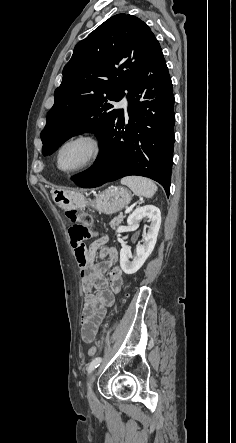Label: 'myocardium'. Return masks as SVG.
<instances>
[{
  "instance_id": "f54148a6",
  "label": "myocardium",
  "mask_w": 236,
  "mask_h": 443,
  "mask_svg": "<svg viewBox=\"0 0 236 443\" xmlns=\"http://www.w3.org/2000/svg\"><path fill=\"white\" fill-rule=\"evenodd\" d=\"M77 141H84L89 144L91 148L90 156L82 165L78 167L72 169H63L60 165L61 154L69 144ZM102 152H103L102 141L97 134L90 131L80 132L70 136L65 141H63L62 144L59 146L56 153V165L57 168L64 173L67 174L80 173L93 167L100 159Z\"/></svg>"
}]
</instances>
